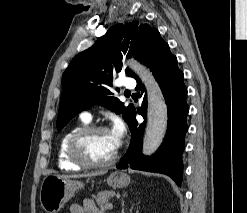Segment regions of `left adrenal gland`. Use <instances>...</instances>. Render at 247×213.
<instances>
[{
  "label": "left adrenal gland",
  "mask_w": 247,
  "mask_h": 213,
  "mask_svg": "<svg viewBox=\"0 0 247 213\" xmlns=\"http://www.w3.org/2000/svg\"><path fill=\"white\" fill-rule=\"evenodd\" d=\"M124 197L126 196V193H124V195H123Z\"/></svg>",
  "instance_id": "1"
}]
</instances>
